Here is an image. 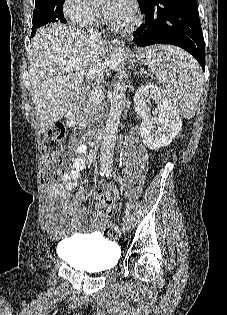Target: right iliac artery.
Returning a JSON list of instances; mask_svg holds the SVG:
<instances>
[{
  "label": "right iliac artery",
  "instance_id": "1",
  "mask_svg": "<svg viewBox=\"0 0 227 315\" xmlns=\"http://www.w3.org/2000/svg\"><path fill=\"white\" fill-rule=\"evenodd\" d=\"M100 174H101V176H103L105 174V172H101Z\"/></svg>",
  "mask_w": 227,
  "mask_h": 315
}]
</instances>
